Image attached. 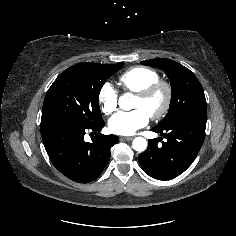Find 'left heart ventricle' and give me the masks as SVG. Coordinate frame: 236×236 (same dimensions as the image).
Instances as JSON below:
<instances>
[{
	"label": "left heart ventricle",
	"mask_w": 236,
	"mask_h": 236,
	"mask_svg": "<svg viewBox=\"0 0 236 236\" xmlns=\"http://www.w3.org/2000/svg\"><path fill=\"white\" fill-rule=\"evenodd\" d=\"M164 96L162 92H157L153 96L148 99H142L136 96L133 108H142L144 109L149 115L154 112L160 110L163 105Z\"/></svg>",
	"instance_id": "b2bd125f"
}]
</instances>
